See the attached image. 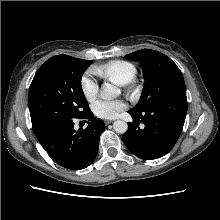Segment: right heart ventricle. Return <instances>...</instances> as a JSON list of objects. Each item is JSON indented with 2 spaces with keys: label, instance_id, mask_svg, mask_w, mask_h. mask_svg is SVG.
<instances>
[{
  "label": "right heart ventricle",
  "instance_id": "1",
  "mask_svg": "<svg viewBox=\"0 0 220 220\" xmlns=\"http://www.w3.org/2000/svg\"><path fill=\"white\" fill-rule=\"evenodd\" d=\"M94 72L118 85H126L137 76L136 66L125 60H113L95 67Z\"/></svg>",
  "mask_w": 220,
  "mask_h": 220
}]
</instances>
